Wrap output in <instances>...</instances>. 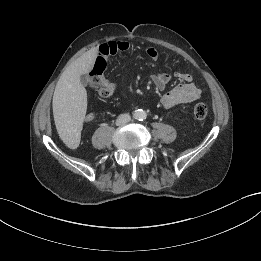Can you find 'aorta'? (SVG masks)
<instances>
[{"instance_id": "1", "label": "aorta", "mask_w": 261, "mask_h": 261, "mask_svg": "<svg viewBox=\"0 0 261 261\" xmlns=\"http://www.w3.org/2000/svg\"><path fill=\"white\" fill-rule=\"evenodd\" d=\"M146 117H147V113L142 109L137 110L135 112V118L138 120H144V119H146Z\"/></svg>"}]
</instances>
